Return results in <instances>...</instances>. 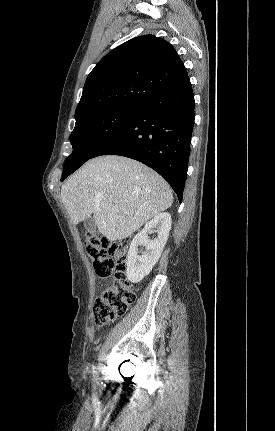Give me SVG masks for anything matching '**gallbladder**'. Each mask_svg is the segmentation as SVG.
<instances>
[{
  "instance_id": "bac80fb5",
  "label": "gallbladder",
  "mask_w": 275,
  "mask_h": 431,
  "mask_svg": "<svg viewBox=\"0 0 275 431\" xmlns=\"http://www.w3.org/2000/svg\"><path fill=\"white\" fill-rule=\"evenodd\" d=\"M84 227H85L87 232H89L91 234L96 233V223H95V219L93 216H89L84 220Z\"/></svg>"
}]
</instances>
